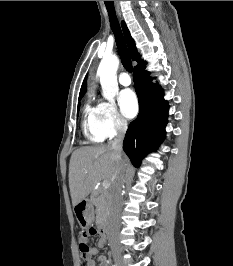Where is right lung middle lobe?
<instances>
[{"instance_id":"obj_1","label":"right lung middle lobe","mask_w":233,"mask_h":266,"mask_svg":"<svg viewBox=\"0 0 233 266\" xmlns=\"http://www.w3.org/2000/svg\"><path fill=\"white\" fill-rule=\"evenodd\" d=\"M82 97H79V100L81 99ZM79 107H80V103L78 104V111H79Z\"/></svg>"}]
</instances>
